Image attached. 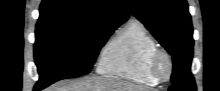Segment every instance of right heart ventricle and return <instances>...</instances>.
I'll return each mask as SVG.
<instances>
[{
  "label": "right heart ventricle",
  "mask_w": 220,
  "mask_h": 91,
  "mask_svg": "<svg viewBox=\"0 0 220 91\" xmlns=\"http://www.w3.org/2000/svg\"><path fill=\"white\" fill-rule=\"evenodd\" d=\"M156 50L157 42L145 24L132 19L105 46L97 70L104 76L155 86L158 81L150 74L149 60Z\"/></svg>",
  "instance_id": "right-heart-ventricle-1"
}]
</instances>
